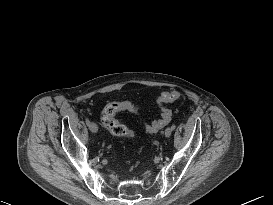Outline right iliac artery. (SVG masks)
I'll list each match as a JSON object with an SVG mask.
<instances>
[{"mask_svg":"<svg viewBox=\"0 0 273 205\" xmlns=\"http://www.w3.org/2000/svg\"><path fill=\"white\" fill-rule=\"evenodd\" d=\"M85 122H86L87 125H89L90 120L88 118H85Z\"/></svg>","mask_w":273,"mask_h":205,"instance_id":"right-iliac-artery-1","label":"right iliac artery"}]
</instances>
